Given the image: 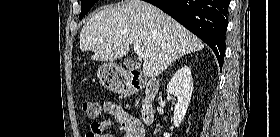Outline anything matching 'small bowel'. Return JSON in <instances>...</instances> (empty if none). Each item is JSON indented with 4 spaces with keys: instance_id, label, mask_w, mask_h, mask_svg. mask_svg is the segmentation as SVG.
Returning <instances> with one entry per match:
<instances>
[{
    "instance_id": "obj_1",
    "label": "small bowel",
    "mask_w": 280,
    "mask_h": 137,
    "mask_svg": "<svg viewBox=\"0 0 280 137\" xmlns=\"http://www.w3.org/2000/svg\"><path fill=\"white\" fill-rule=\"evenodd\" d=\"M104 112L113 116L115 121L104 120L92 123L90 130L86 133V137H113V135L110 132H107L106 129L116 125L124 131V137H130L131 124H136L139 127L138 136L135 137H143L141 124L131 115L126 113L119 104L114 102L106 103L104 105Z\"/></svg>"
}]
</instances>
